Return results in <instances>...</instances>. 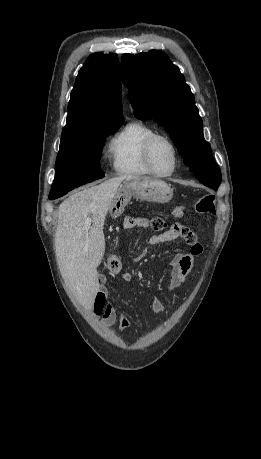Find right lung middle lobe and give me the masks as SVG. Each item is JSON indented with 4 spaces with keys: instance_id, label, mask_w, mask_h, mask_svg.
<instances>
[{
    "instance_id": "1",
    "label": "right lung middle lobe",
    "mask_w": 261,
    "mask_h": 459,
    "mask_svg": "<svg viewBox=\"0 0 261 459\" xmlns=\"http://www.w3.org/2000/svg\"><path fill=\"white\" fill-rule=\"evenodd\" d=\"M122 123L103 124L61 140L56 159L55 179L49 199L59 198L70 190L104 177L100 155L107 136Z\"/></svg>"
}]
</instances>
